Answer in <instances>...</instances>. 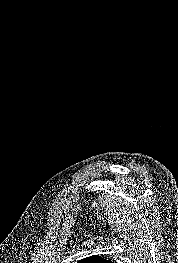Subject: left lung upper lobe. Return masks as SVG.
<instances>
[{
    "label": "left lung upper lobe",
    "instance_id": "left-lung-upper-lobe-1",
    "mask_svg": "<svg viewBox=\"0 0 178 263\" xmlns=\"http://www.w3.org/2000/svg\"><path fill=\"white\" fill-rule=\"evenodd\" d=\"M77 263H111V261L102 259L100 256L95 255V256L84 258L78 261Z\"/></svg>",
    "mask_w": 178,
    "mask_h": 263
}]
</instances>
